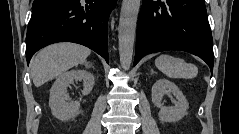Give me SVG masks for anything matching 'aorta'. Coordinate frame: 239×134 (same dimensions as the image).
I'll list each match as a JSON object with an SVG mask.
<instances>
[{
	"mask_svg": "<svg viewBox=\"0 0 239 134\" xmlns=\"http://www.w3.org/2000/svg\"><path fill=\"white\" fill-rule=\"evenodd\" d=\"M140 2V0H123L122 2L118 26V44L120 63L124 70H128L132 63Z\"/></svg>",
	"mask_w": 239,
	"mask_h": 134,
	"instance_id": "obj_1",
	"label": "aorta"
}]
</instances>
